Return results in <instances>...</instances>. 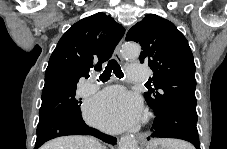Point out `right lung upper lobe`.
Instances as JSON below:
<instances>
[{
  "mask_svg": "<svg viewBox=\"0 0 227 149\" xmlns=\"http://www.w3.org/2000/svg\"><path fill=\"white\" fill-rule=\"evenodd\" d=\"M125 29L111 16L99 12L84 18L60 38L45 72L44 88L75 85L91 68L101 70Z\"/></svg>",
  "mask_w": 227,
  "mask_h": 149,
  "instance_id": "right-lung-upper-lobe-1",
  "label": "right lung upper lobe"
}]
</instances>
